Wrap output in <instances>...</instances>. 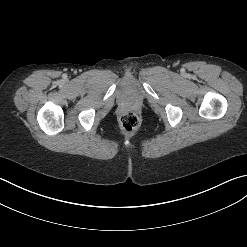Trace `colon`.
I'll return each instance as SVG.
<instances>
[{
  "instance_id": "5ec220e1",
  "label": "colon",
  "mask_w": 247,
  "mask_h": 247,
  "mask_svg": "<svg viewBox=\"0 0 247 247\" xmlns=\"http://www.w3.org/2000/svg\"><path fill=\"white\" fill-rule=\"evenodd\" d=\"M119 124L123 131L130 133L139 128L140 119L136 113L128 111L120 117Z\"/></svg>"
}]
</instances>
